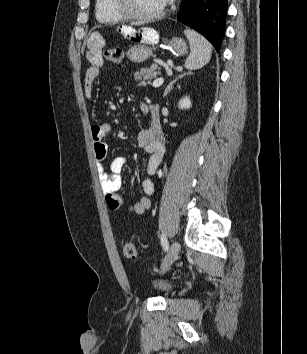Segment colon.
Segmentation results:
<instances>
[{
    "instance_id": "1",
    "label": "colon",
    "mask_w": 307,
    "mask_h": 354,
    "mask_svg": "<svg viewBox=\"0 0 307 354\" xmlns=\"http://www.w3.org/2000/svg\"><path fill=\"white\" fill-rule=\"evenodd\" d=\"M106 60L112 63H119L123 58V52L118 48H110L104 52ZM123 255L127 259H135L137 257V250L135 245L128 239L122 241Z\"/></svg>"
}]
</instances>
